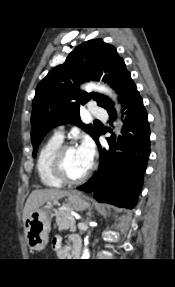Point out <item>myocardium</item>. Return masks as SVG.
<instances>
[{
    "instance_id": "f54148a6",
    "label": "myocardium",
    "mask_w": 175,
    "mask_h": 287,
    "mask_svg": "<svg viewBox=\"0 0 175 287\" xmlns=\"http://www.w3.org/2000/svg\"><path fill=\"white\" fill-rule=\"evenodd\" d=\"M72 143H62L54 152L51 162V168L54 176L63 183L66 184H78L88 178L92 171V164L90 167L79 177L71 178L67 175L64 168V156L67 150L75 148Z\"/></svg>"
}]
</instances>
